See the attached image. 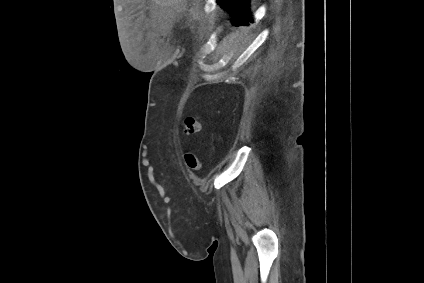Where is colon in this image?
Segmentation results:
<instances>
[{
  "label": "colon",
  "instance_id": "obj_1",
  "mask_svg": "<svg viewBox=\"0 0 424 283\" xmlns=\"http://www.w3.org/2000/svg\"><path fill=\"white\" fill-rule=\"evenodd\" d=\"M202 121L199 117H187L183 121V131L186 135H193L201 130ZM184 160L187 167L191 170H199L202 167V162L193 154L186 153Z\"/></svg>",
  "mask_w": 424,
  "mask_h": 283
}]
</instances>
